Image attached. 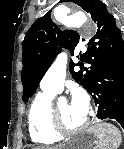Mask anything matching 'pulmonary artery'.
<instances>
[{"mask_svg": "<svg viewBox=\"0 0 124 149\" xmlns=\"http://www.w3.org/2000/svg\"><path fill=\"white\" fill-rule=\"evenodd\" d=\"M66 56L62 53L47 70L41 88L44 91L59 93L64 86L66 76Z\"/></svg>", "mask_w": 124, "mask_h": 149, "instance_id": "pulmonary-artery-1", "label": "pulmonary artery"}]
</instances>
